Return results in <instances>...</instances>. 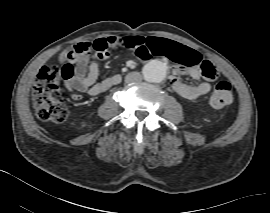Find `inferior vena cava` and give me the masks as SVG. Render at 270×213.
I'll use <instances>...</instances> for the list:
<instances>
[{
    "label": "inferior vena cava",
    "instance_id": "obj_1",
    "mask_svg": "<svg viewBox=\"0 0 270 213\" xmlns=\"http://www.w3.org/2000/svg\"><path fill=\"white\" fill-rule=\"evenodd\" d=\"M142 80V76L139 72H131L126 75L125 81L127 83H132V82H139Z\"/></svg>",
    "mask_w": 270,
    "mask_h": 213
}]
</instances>
